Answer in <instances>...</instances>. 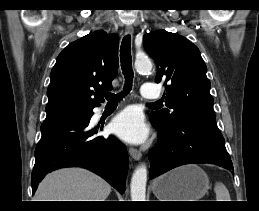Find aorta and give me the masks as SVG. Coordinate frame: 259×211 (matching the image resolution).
I'll use <instances>...</instances> for the list:
<instances>
[{"label": "aorta", "mask_w": 259, "mask_h": 211, "mask_svg": "<svg viewBox=\"0 0 259 211\" xmlns=\"http://www.w3.org/2000/svg\"><path fill=\"white\" fill-rule=\"evenodd\" d=\"M152 63L149 59H140L135 62V69L139 73H146L152 70ZM147 168L139 166L132 175L130 184L131 201H145L146 198Z\"/></svg>", "instance_id": "1"}]
</instances>
